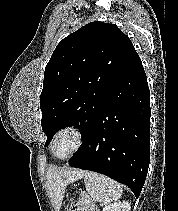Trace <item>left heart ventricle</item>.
Masks as SVG:
<instances>
[{"label": "left heart ventricle", "instance_id": "left-heart-ventricle-1", "mask_svg": "<svg viewBox=\"0 0 178 211\" xmlns=\"http://www.w3.org/2000/svg\"><path fill=\"white\" fill-rule=\"evenodd\" d=\"M74 145V138L71 134H63L56 142L55 150L58 155H65Z\"/></svg>", "mask_w": 178, "mask_h": 211}]
</instances>
